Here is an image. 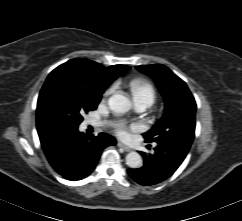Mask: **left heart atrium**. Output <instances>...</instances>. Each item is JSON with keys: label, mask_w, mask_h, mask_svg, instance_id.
<instances>
[{"label": "left heart atrium", "mask_w": 242, "mask_h": 221, "mask_svg": "<svg viewBox=\"0 0 242 221\" xmlns=\"http://www.w3.org/2000/svg\"><path fill=\"white\" fill-rule=\"evenodd\" d=\"M116 132L121 137H127L128 136V128L125 123L120 122L116 125Z\"/></svg>", "instance_id": "39dd6f15"}]
</instances>
